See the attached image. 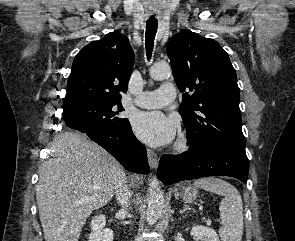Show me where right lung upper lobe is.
Segmentation results:
<instances>
[{
    "mask_svg": "<svg viewBox=\"0 0 295 241\" xmlns=\"http://www.w3.org/2000/svg\"><path fill=\"white\" fill-rule=\"evenodd\" d=\"M133 64L134 53L125 35L111 32L86 45L74 59L63 111L86 104L121 102Z\"/></svg>",
    "mask_w": 295,
    "mask_h": 241,
    "instance_id": "right-lung-upper-lobe-1",
    "label": "right lung upper lobe"
}]
</instances>
